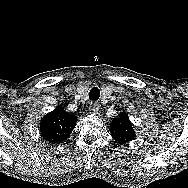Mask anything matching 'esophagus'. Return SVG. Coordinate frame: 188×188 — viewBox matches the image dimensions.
<instances>
[{"instance_id": "esophagus-1", "label": "esophagus", "mask_w": 188, "mask_h": 188, "mask_svg": "<svg viewBox=\"0 0 188 188\" xmlns=\"http://www.w3.org/2000/svg\"><path fill=\"white\" fill-rule=\"evenodd\" d=\"M99 111H100L99 104H97L95 102L90 103V106H89V113L90 114H98Z\"/></svg>"}]
</instances>
